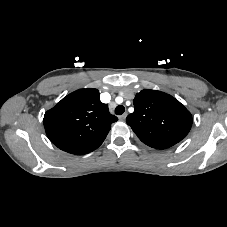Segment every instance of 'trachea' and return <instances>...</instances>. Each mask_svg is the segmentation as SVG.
<instances>
[{"label": "trachea", "instance_id": "1", "mask_svg": "<svg viewBox=\"0 0 227 227\" xmlns=\"http://www.w3.org/2000/svg\"><path fill=\"white\" fill-rule=\"evenodd\" d=\"M124 111H125V108L122 105H119L115 108L116 115H122L124 113Z\"/></svg>", "mask_w": 227, "mask_h": 227}]
</instances>
